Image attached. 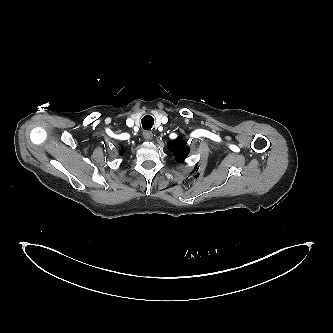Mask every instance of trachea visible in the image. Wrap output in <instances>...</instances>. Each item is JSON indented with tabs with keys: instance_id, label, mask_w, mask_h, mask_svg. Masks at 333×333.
<instances>
[{
	"instance_id": "3493384b",
	"label": "trachea",
	"mask_w": 333,
	"mask_h": 333,
	"mask_svg": "<svg viewBox=\"0 0 333 333\" xmlns=\"http://www.w3.org/2000/svg\"><path fill=\"white\" fill-rule=\"evenodd\" d=\"M143 129L150 130L154 124V118L151 115H145L141 120Z\"/></svg>"
}]
</instances>
